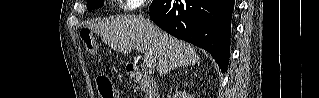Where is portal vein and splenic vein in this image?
<instances>
[{
	"instance_id": "portal-vein-and-splenic-vein-1",
	"label": "portal vein and splenic vein",
	"mask_w": 319,
	"mask_h": 98,
	"mask_svg": "<svg viewBox=\"0 0 319 98\" xmlns=\"http://www.w3.org/2000/svg\"><path fill=\"white\" fill-rule=\"evenodd\" d=\"M136 49L144 55V64L147 68L155 66V61L153 60L152 55L148 53L143 46L138 45Z\"/></svg>"
}]
</instances>
